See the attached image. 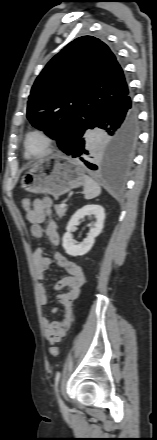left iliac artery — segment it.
<instances>
[{
    "label": "left iliac artery",
    "mask_w": 157,
    "mask_h": 440,
    "mask_svg": "<svg viewBox=\"0 0 157 440\" xmlns=\"http://www.w3.org/2000/svg\"><path fill=\"white\" fill-rule=\"evenodd\" d=\"M61 373L58 371L55 376V391L57 392L58 383L60 380Z\"/></svg>",
    "instance_id": "1"
}]
</instances>
